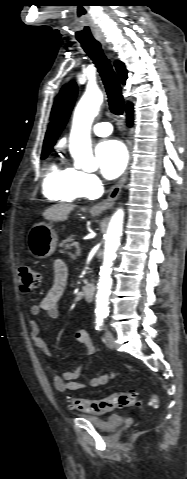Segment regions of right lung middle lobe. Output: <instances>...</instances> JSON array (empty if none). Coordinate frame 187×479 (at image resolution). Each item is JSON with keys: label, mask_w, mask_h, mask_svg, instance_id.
Masks as SVG:
<instances>
[{"label": "right lung middle lobe", "mask_w": 187, "mask_h": 479, "mask_svg": "<svg viewBox=\"0 0 187 479\" xmlns=\"http://www.w3.org/2000/svg\"><path fill=\"white\" fill-rule=\"evenodd\" d=\"M50 150L42 152V159H45L47 155L49 154Z\"/></svg>", "instance_id": "right-lung-middle-lobe-1"}]
</instances>
